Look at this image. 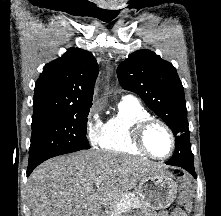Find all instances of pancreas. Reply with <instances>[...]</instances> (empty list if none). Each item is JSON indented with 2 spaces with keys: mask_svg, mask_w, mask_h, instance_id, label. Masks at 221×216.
Here are the masks:
<instances>
[{
  "mask_svg": "<svg viewBox=\"0 0 221 216\" xmlns=\"http://www.w3.org/2000/svg\"><path fill=\"white\" fill-rule=\"evenodd\" d=\"M138 206V198L132 193H125L116 201L111 211L107 212V216H123L125 212Z\"/></svg>",
  "mask_w": 221,
  "mask_h": 216,
  "instance_id": "obj_1",
  "label": "pancreas"
}]
</instances>
